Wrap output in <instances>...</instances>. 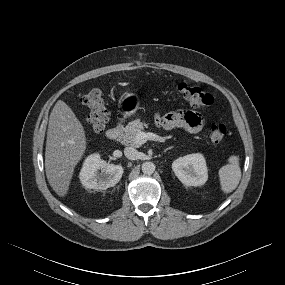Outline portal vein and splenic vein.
<instances>
[{
	"instance_id": "obj_1",
	"label": "portal vein and splenic vein",
	"mask_w": 285,
	"mask_h": 285,
	"mask_svg": "<svg viewBox=\"0 0 285 285\" xmlns=\"http://www.w3.org/2000/svg\"><path fill=\"white\" fill-rule=\"evenodd\" d=\"M147 140H153V141H162V137L154 134V133H151V132H139L136 137H135V143L137 145H142L144 144Z\"/></svg>"
}]
</instances>
